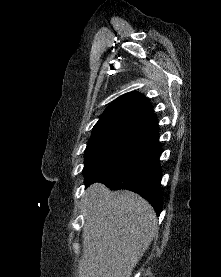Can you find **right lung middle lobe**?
I'll use <instances>...</instances> for the list:
<instances>
[{"mask_svg":"<svg viewBox=\"0 0 221 277\" xmlns=\"http://www.w3.org/2000/svg\"><path fill=\"white\" fill-rule=\"evenodd\" d=\"M141 124L108 125L93 128L85 150V180L103 176L120 165L143 141Z\"/></svg>","mask_w":221,"mask_h":277,"instance_id":"1","label":"right lung middle lobe"}]
</instances>
